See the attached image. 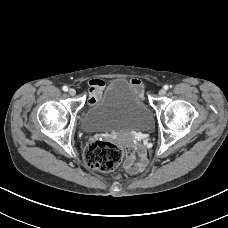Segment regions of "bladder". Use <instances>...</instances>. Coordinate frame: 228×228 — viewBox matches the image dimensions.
I'll return each mask as SVG.
<instances>
[{"label":"bladder","mask_w":228,"mask_h":228,"mask_svg":"<svg viewBox=\"0 0 228 228\" xmlns=\"http://www.w3.org/2000/svg\"><path fill=\"white\" fill-rule=\"evenodd\" d=\"M153 125L152 113L141 92L123 78L111 81L88 105L80 119V127L85 133L146 132Z\"/></svg>","instance_id":"bladder-1"}]
</instances>
